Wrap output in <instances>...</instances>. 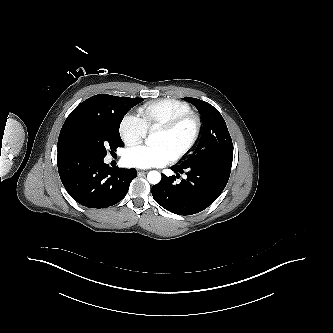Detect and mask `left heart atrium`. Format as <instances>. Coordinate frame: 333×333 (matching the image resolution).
Wrapping results in <instances>:
<instances>
[{"mask_svg":"<svg viewBox=\"0 0 333 333\" xmlns=\"http://www.w3.org/2000/svg\"><path fill=\"white\" fill-rule=\"evenodd\" d=\"M172 160V155L163 145H139L127 149L124 161L130 167L150 168L164 166Z\"/></svg>","mask_w":333,"mask_h":333,"instance_id":"obj_1","label":"left heart atrium"}]
</instances>
